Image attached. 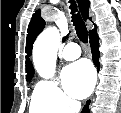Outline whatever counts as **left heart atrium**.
Returning <instances> with one entry per match:
<instances>
[{
  "instance_id": "left-heart-atrium-1",
  "label": "left heart atrium",
  "mask_w": 121,
  "mask_h": 113,
  "mask_svg": "<svg viewBox=\"0 0 121 113\" xmlns=\"http://www.w3.org/2000/svg\"><path fill=\"white\" fill-rule=\"evenodd\" d=\"M62 82L66 92L74 98L83 99L93 89L95 75L87 61H78L64 68Z\"/></svg>"
}]
</instances>
